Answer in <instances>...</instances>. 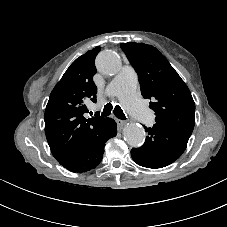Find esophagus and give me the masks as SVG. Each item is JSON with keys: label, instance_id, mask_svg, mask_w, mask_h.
I'll return each mask as SVG.
<instances>
[{"label": "esophagus", "instance_id": "34e87169", "mask_svg": "<svg viewBox=\"0 0 227 227\" xmlns=\"http://www.w3.org/2000/svg\"><path fill=\"white\" fill-rule=\"evenodd\" d=\"M116 123L119 128H122L125 125V121L121 119H116Z\"/></svg>", "mask_w": 227, "mask_h": 227}]
</instances>
